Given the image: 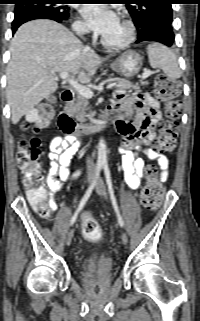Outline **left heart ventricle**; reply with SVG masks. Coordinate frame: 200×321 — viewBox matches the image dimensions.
<instances>
[{
    "instance_id": "1",
    "label": "left heart ventricle",
    "mask_w": 200,
    "mask_h": 321,
    "mask_svg": "<svg viewBox=\"0 0 200 321\" xmlns=\"http://www.w3.org/2000/svg\"><path fill=\"white\" fill-rule=\"evenodd\" d=\"M128 36V30L126 25L122 22L121 19L118 20L116 25L103 37L109 42L113 44L122 43L126 40Z\"/></svg>"
}]
</instances>
